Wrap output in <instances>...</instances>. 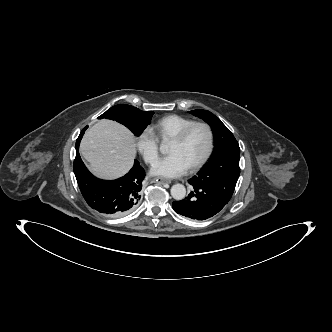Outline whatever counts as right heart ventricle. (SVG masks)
<instances>
[{"mask_svg":"<svg viewBox=\"0 0 332 332\" xmlns=\"http://www.w3.org/2000/svg\"><path fill=\"white\" fill-rule=\"evenodd\" d=\"M194 120L190 117L171 114L159 119L151 130L161 140H169L176 136L185 126Z\"/></svg>","mask_w":332,"mask_h":332,"instance_id":"1","label":"right heart ventricle"}]
</instances>
